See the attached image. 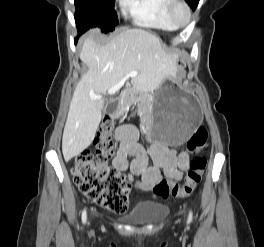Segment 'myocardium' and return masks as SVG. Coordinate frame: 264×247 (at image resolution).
<instances>
[{
  "mask_svg": "<svg viewBox=\"0 0 264 247\" xmlns=\"http://www.w3.org/2000/svg\"><path fill=\"white\" fill-rule=\"evenodd\" d=\"M181 13L185 15L184 20L180 17ZM169 16L177 28H185L192 22V10L184 0H172L169 5Z\"/></svg>",
  "mask_w": 264,
  "mask_h": 247,
  "instance_id": "f54148a6",
  "label": "myocardium"
}]
</instances>
